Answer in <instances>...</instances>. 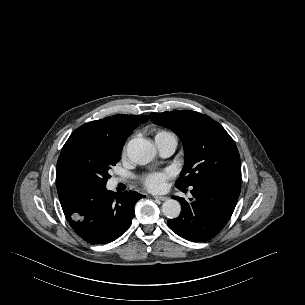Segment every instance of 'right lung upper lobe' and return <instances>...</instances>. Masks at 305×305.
Returning a JSON list of instances; mask_svg holds the SVG:
<instances>
[{
	"label": "right lung upper lobe",
	"mask_w": 305,
	"mask_h": 305,
	"mask_svg": "<svg viewBox=\"0 0 305 305\" xmlns=\"http://www.w3.org/2000/svg\"><path fill=\"white\" fill-rule=\"evenodd\" d=\"M149 117L139 115L118 114L104 119L86 123L74 132L86 133L108 142L116 148H123L127 137L139 123L147 122Z\"/></svg>",
	"instance_id": "obj_1"
}]
</instances>
